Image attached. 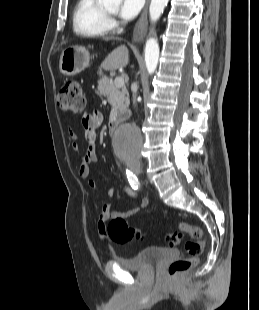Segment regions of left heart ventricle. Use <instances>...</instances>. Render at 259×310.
Segmentation results:
<instances>
[{"mask_svg": "<svg viewBox=\"0 0 259 310\" xmlns=\"http://www.w3.org/2000/svg\"><path fill=\"white\" fill-rule=\"evenodd\" d=\"M115 11H116V9H115V8H114V9H108V10H107V12H108V13H110V14L115 13Z\"/></svg>", "mask_w": 259, "mask_h": 310, "instance_id": "1", "label": "left heart ventricle"}]
</instances>
